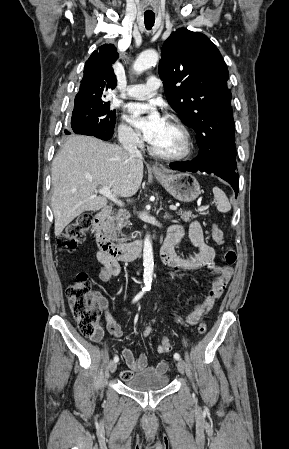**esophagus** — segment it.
<instances>
[{
	"label": "esophagus",
	"instance_id": "obj_1",
	"mask_svg": "<svg viewBox=\"0 0 289 449\" xmlns=\"http://www.w3.org/2000/svg\"><path fill=\"white\" fill-rule=\"evenodd\" d=\"M152 170L154 172H162L163 171V169L161 167H159L158 165H156V164L152 165Z\"/></svg>",
	"mask_w": 289,
	"mask_h": 449
}]
</instances>
